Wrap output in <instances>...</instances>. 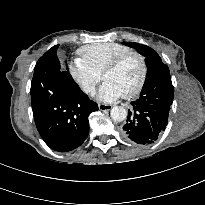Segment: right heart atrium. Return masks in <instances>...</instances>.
<instances>
[{
  "mask_svg": "<svg viewBox=\"0 0 205 205\" xmlns=\"http://www.w3.org/2000/svg\"><path fill=\"white\" fill-rule=\"evenodd\" d=\"M69 73L73 81L86 95H93L101 80V75L80 58L74 59L70 63Z\"/></svg>",
  "mask_w": 205,
  "mask_h": 205,
  "instance_id": "d8ad5b80",
  "label": "right heart atrium"
}]
</instances>
